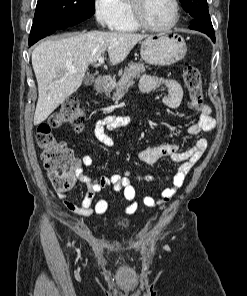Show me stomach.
<instances>
[{"mask_svg":"<svg viewBox=\"0 0 247 296\" xmlns=\"http://www.w3.org/2000/svg\"><path fill=\"white\" fill-rule=\"evenodd\" d=\"M186 51L184 38L168 31L146 37L141 43L140 54L148 64L168 66L182 60Z\"/></svg>","mask_w":247,"mask_h":296,"instance_id":"0dacf381","label":"stomach"}]
</instances>
